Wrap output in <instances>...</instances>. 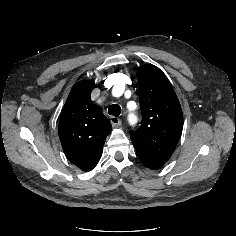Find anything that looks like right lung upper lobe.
I'll return each mask as SVG.
<instances>
[{
	"label": "right lung upper lobe",
	"instance_id": "right-lung-upper-lobe-1",
	"mask_svg": "<svg viewBox=\"0 0 236 236\" xmlns=\"http://www.w3.org/2000/svg\"><path fill=\"white\" fill-rule=\"evenodd\" d=\"M93 80L79 82L62 109L58 133L67 158L82 171L92 170L100 159L110 121L92 103Z\"/></svg>",
	"mask_w": 236,
	"mask_h": 236
}]
</instances>
